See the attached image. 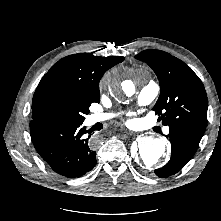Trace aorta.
Instances as JSON below:
<instances>
[{"label": "aorta", "mask_w": 221, "mask_h": 221, "mask_svg": "<svg viewBox=\"0 0 221 221\" xmlns=\"http://www.w3.org/2000/svg\"><path fill=\"white\" fill-rule=\"evenodd\" d=\"M115 85L118 86V83ZM120 86L127 96H132L135 92L134 84L130 80L123 81ZM165 154V142L160 138L148 136L138 140L137 151L133 153V157L138 164L150 169L164 159Z\"/></svg>", "instance_id": "aorta-1"}]
</instances>
